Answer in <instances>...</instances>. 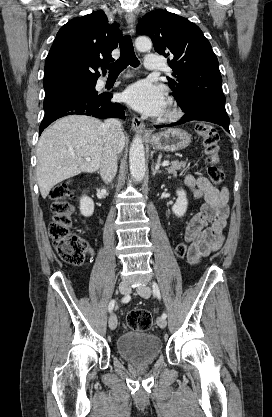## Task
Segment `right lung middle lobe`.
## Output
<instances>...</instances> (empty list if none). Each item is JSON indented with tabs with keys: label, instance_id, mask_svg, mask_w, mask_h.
I'll list each match as a JSON object with an SVG mask.
<instances>
[{
	"label": "right lung middle lobe",
	"instance_id": "dd1d6c3e",
	"mask_svg": "<svg viewBox=\"0 0 272 417\" xmlns=\"http://www.w3.org/2000/svg\"><path fill=\"white\" fill-rule=\"evenodd\" d=\"M88 91L93 92L94 95H98L97 91L95 90V84L93 83L63 85V86H59L56 88L46 89L44 104L56 98L57 96H60L63 94L74 93V92H88Z\"/></svg>",
	"mask_w": 272,
	"mask_h": 417
}]
</instances>
